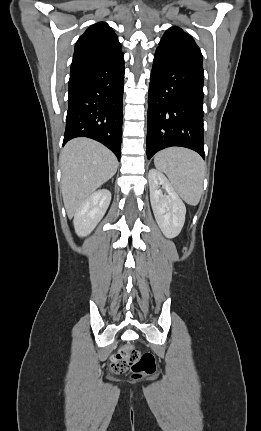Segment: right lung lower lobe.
I'll list each match as a JSON object with an SVG mask.
<instances>
[{
  "label": "right lung lower lobe",
  "instance_id": "1",
  "mask_svg": "<svg viewBox=\"0 0 261 431\" xmlns=\"http://www.w3.org/2000/svg\"><path fill=\"white\" fill-rule=\"evenodd\" d=\"M124 54L73 57L63 145L88 137L108 147L120 160L123 118Z\"/></svg>",
  "mask_w": 261,
  "mask_h": 431
}]
</instances>
